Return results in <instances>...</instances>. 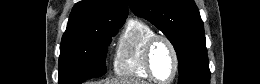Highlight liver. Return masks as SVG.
Returning <instances> with one entry per match:
<instances>
[{"mask_svg": "<svg viewBox=\"0 0 260 84\" xmlns=\"http://www.w3.org/2000/svg\"><path fill=\"white\" fill-rule=\"evenodd\" d=\"M132 82H136V83H132ZM104 84H147V83L144 81L138 83V81H132L128 79H115L111 81H106Z\"/></svg>", "mask_w": 260, "mask_h": 84, "instance_id": "6515ba94", "label": "liver"}]
</instances>
